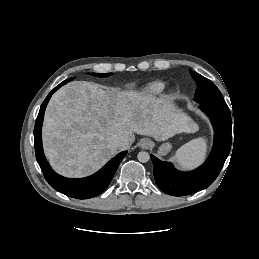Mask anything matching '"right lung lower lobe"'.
Segmentation results:
<instances>
[{
  "label": "right lung lower lobe",
  "mask_w": 259,
  "mask_h": 259,
  "mask_svg": "<svg viewBox=\"0 0 259 259\" xmlns=\"http://www.w3.org/2000/svg\"><path fill=\"white\" fill-rule=\"evenodd\" d=\"M64 82L56 86L43 101L34 127L35 153L37 162L44 174L47 182L58 192L69 197L78 199H88L101 194L112 180L120 162L126 155L127 151L119 153L111 159L102 169L92 176L82 179H69L58 175L48 164L42 148V123L46 106L52 96Z\"/></svg>",
  "instance_id": "right-lung-lower-lobe-1"
}]
</instances>
